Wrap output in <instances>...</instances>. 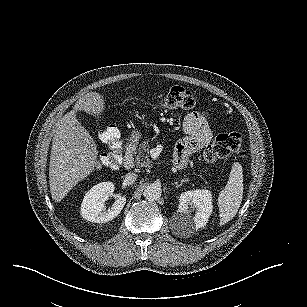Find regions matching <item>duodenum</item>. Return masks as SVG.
Here are the masks:
<instances>
[{"label": "duodenum", "instance_id": "duodenum-1", "mask_svg": "<svg viewBox=\"0 0 307 307\" xmlns=\"http://www.w3.org/2000/svg\"><path fill=\"white\" fill-rule=\"evenodd\" d=\"M134 148L132 145L126 147L125 156L123 160V166L126 170H130L134 166Z\"/></svg>", "mask_w": 307, "mask_h": 307}]
</instances>
